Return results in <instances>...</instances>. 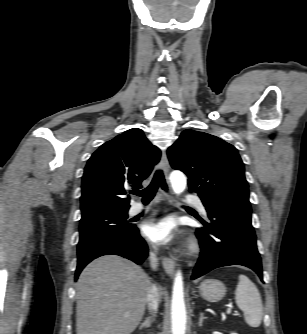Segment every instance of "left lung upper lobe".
I'll return each instance as SVG.
<instances>
[{
	"instance_id": "1",
	"label": "left lung upper lobe",
	"mask_w": 307,
	"mask_h": 334,
	"mask_svg": "<svg viewBox=\"0 0 307 334\" xmlns=\"http://www.w3.org/2000/svg\"><path fill=\"white\" fill-rule=\"evenodd\" d=\"M173 169L189 178L207 211L227 209L251 215L244 164L237 149L224 140L194 130H184L167 151Z\"/></svg>"
}]
</instances>
